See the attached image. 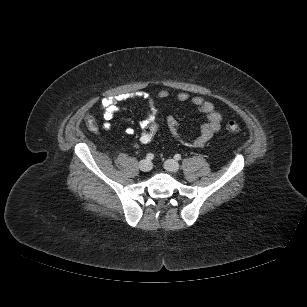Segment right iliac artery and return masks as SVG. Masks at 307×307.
Returning a JSON list of instances; mask_svg holds the SVG:
<instances>
[{
    "label": "right iliac artery",
    "mask_w": 307,
    "mask_h": 307,
    "mask_svg": "<svg viewBox=\"0 0 307 307\" xmlns=\"http://www.w3.org/2000/svg\"><path fill=\"white\" fill-rule=\"evenodd\" d=\"M153 158H154V155H153L152 153H148V154L146 155V159H147L148 161H151Z\"/></svg>",
    "instance_id": "1"
}]
</instances>
